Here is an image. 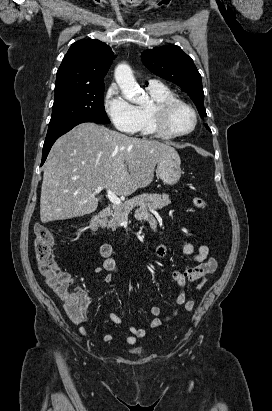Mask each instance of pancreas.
Wrapping results in <instances>:
<instances>
[{
    "label": "pancreas",
    "mask_w": 272,
    "mask_h": 411,
    "mask_svg": "<svg viewBox=\"0 0 272 411\" xmlns=\"http://www.w3.org/2000/svg\"><path fill=\"white\" fill-rule=\"evenodd\" d=\"M171 203L167 194L143 193L126 201L124 204L115 205L110 220L107 221V228L115 230L124 220L126 211L130 212L134 207L140 206L142 209H161Z\"/></svg>",
    "instance_id": "obj_1"
}]
</instances>
